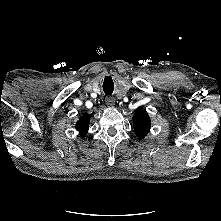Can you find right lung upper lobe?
<instances>
[{
	"label": "right lung upper lobe",
	"instance_id": "right-lung-upper-lobe-1",
	"mask_svg": "<svg viewBox=\"0 0 221 221\" xmlns=\"http://www.w3.org/2000/svg\"><path fill=\"white\" fill-rule=\"evenodd\" d=\"M76 128L80 135L85 136L89 128V116L82 117L76 124Z\"/></svg>",
	"mask_w": 221,
	"mask_h": 221
}]
</instances>
